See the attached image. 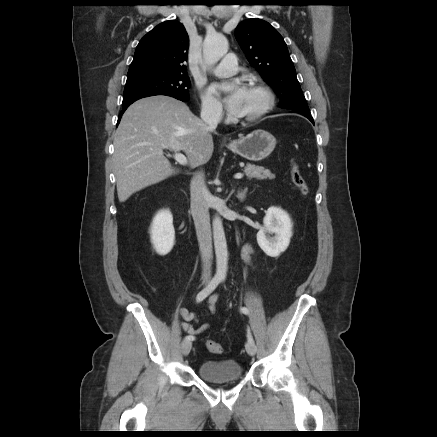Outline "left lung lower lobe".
<instances>
[{"label":"left lung lower lobe","mask_w":437,"mask_h":437,"mask_svg":"<svg viewBox=\"0 0 437 437\" xmlns=\"http://www.w3.org/2000/svg\"><path fill=\"white\" fill-rule=\"evenodd\" d=\"M297 113H300V112H297ZM301 114L306 116L314 124L313 118H312V116L310 114H304V113H301Z\"/></svg>","instance_id":"left-lung-lower-lobe-1"}]
</instances>
